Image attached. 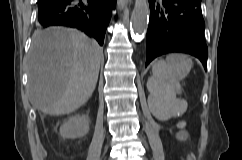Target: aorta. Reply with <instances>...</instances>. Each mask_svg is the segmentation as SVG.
Segmentation results:
<instances>
[{
    "instance_id": "762f6f07",
    "label": "aorta",
    "mask_w": 242,
    "mask_h": 160,
    "mask_svg": "<svg viewBox=\"0 0 242 160\" xmlns=\"http://www.w3.org/2000/svg\"><path fill=\"white\" fill-rule=\"evenodd\" d=\"M149 22V5L147 0H136L131 17V30L141 36L147 30Z\"/></svg>"
}]
</instances>
